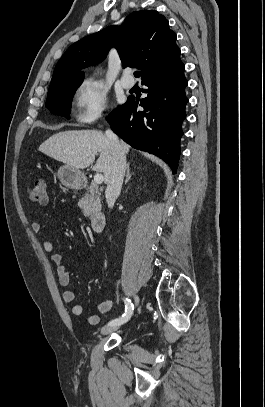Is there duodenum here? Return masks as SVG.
<instances>
[{
	"mask_svg": "<svg viewBox=\"0 0 265 407\" xmlns=\"http://www.w3.org/2000/svg\"><path fill=\"white\" fill-rule=\"evenodd\" d=\"M91 228L94 232L100 233L104 230L106 218L103 212L94 211L90 216Z\"/></svg>",
	"mask_w": 265,
	"mask_h": 407,
	"instance_id": "410a0bca",
	"label": "duodenum"
}]
</instances>
